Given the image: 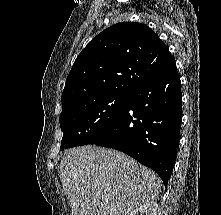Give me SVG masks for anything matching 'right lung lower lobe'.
Wrapping results in <instances>:
<instances>
[{
  "label": "right lung lower lobe",
  "instance_id": "obj_1",
  "mask_svg": "<svg viewBox=\"0 0 221 215\" xmlns=\"http://www.w3.org/2000/svg\"><path fill=\"white\" fill-rule=\"evenodd\" d=\"M181 102L174 60L162 73L131 91L118 120L90 144L130 155L153 169L167 186L179 142Z\"/></svg>",
  "mask_w": 221,
  "mask_h": 215
}]
</instances>
